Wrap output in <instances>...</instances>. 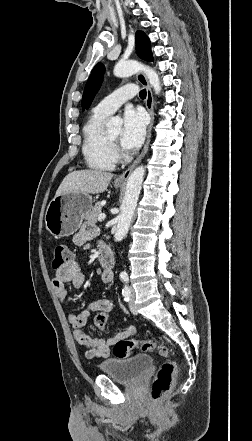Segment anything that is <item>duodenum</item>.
<instances>
[{
  "instance_id": "410a0bca",
  "label": "duodenum",
  "mask_w": 252,
  "mask_h": 441,
  "mask_svg": "<svg viewBox=\"0 0 252 441\" xmlns=\"http://www.w3.org/2000/svg\"><path fill=\"white\" fill-rule=\"evenodd\" d=\"M99 262L106 271H110L114 266V256L111 250L105 245L99 248Z\"/></svg>"
}]
</instances>
